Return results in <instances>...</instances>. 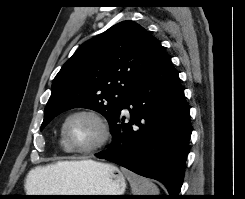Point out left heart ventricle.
Segmentation results:
<instances>
[{"label":"left heart ventricle","instance_id":"left-heart-ventricle-1","mask_svg":"<svg viewBox=\"0 0 245 199\" xmlns=\"http://www.w3.org/2000/svg\"><path fill=\"white\" fill-rule=\"evenodd\" d=\"M67 134L73 145L85 148L98 142L101 137V129L92 118L76 116L70 120L67 126Z\"/></svg>","mask_w":245,"mask_h":199}]
</instances>
